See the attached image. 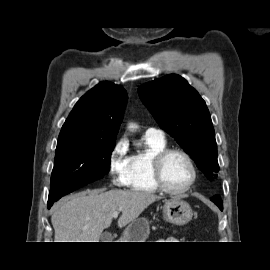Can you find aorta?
<instances>
[{"mask_svg":"<svg viewBox=\"0 0 270 270\" xmlns=\"http://www.w3.org/2000/svg\"><path fill=\"white\" fill-rule=\"evenodd\" d=\"M129 128H130V129H133V128H134V126H132V125H131V126H129Z\"/></svg>","mask_w":270,"mask_h":270,"instance_id":"obj_1","label":"aorta"}]
</instances>
